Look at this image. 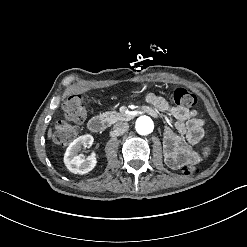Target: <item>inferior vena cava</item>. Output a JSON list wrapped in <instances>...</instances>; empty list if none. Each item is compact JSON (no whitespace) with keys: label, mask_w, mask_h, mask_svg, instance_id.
I'll list each match as a JSON object with an SVG mask.
<instances>
[{"label":"inferior vena cava","mask_w":247,"mask_h":247,"mask_svg":"<svg viewBox=\"0 0 247 247\" xmlns=\"http://www.w3.org/2000/svg\"><path fill=\"white\" fill-rule=\"evenodd\" d=\"M113 129L116 134L122 135L128 131L129 125L126 122H118L114 124Z\"/></svg>","instance_id":"obj_1"}]
</instances>
